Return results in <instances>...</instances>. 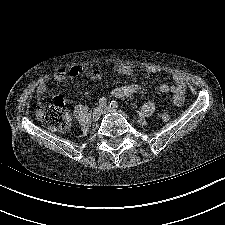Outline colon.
<instances>
[{"label":"colon","instance_id":"1","mask_svg":"<svg viewBox=\"0 0 225 225\" xmlns=\"http://www.w3.org/2000/svg\"><path fill=\"white\" fill-rule=\"evenodd\" d=\"M39 117L47 127L56 131H64L70 124V117L62 99H57L42 108L39 111ZM169 118V113L164 111L161 115V120L166 122Z\"/></svg>","mask_w":225,"mask_h":225}]
</instances>
